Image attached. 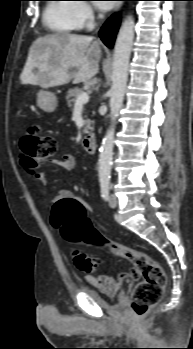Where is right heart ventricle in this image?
Listing matches in <instances>:
<instances>
[{"label": "right heart ventricle", "mask_w": 193, "mask_h": 349, "mask_svg": "<svg viewBox=\"0 0 193 349\" xmlns=\"http://www.w3.org/2000/svg\"><path fill=\"white\" fill-rule=\"evenodd\" d=\"M74 3L68 0H52L44 10L43 22L56 34H70L80 28L74 12Z\"/></svg>", "instance_id": "e07e8e85"}]
</instances>
